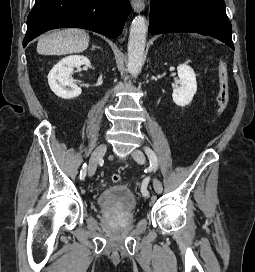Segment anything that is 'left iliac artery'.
<instances>
[{"label": "left iliac artery", "mask_w": 255, "mask_h": 272, "mask_svg": "<svg viewBox=\"0 0 255 272\" xmlns=\"http://www.w3.org/2000/svg\"><path fill=\"white\" fill-rule=\"evenodd\" d=\"M144 150H145L146 155L149 158L150 166L152 167V169H154V171L157 170L158 162H157V157H156L155 153L149 147H145ZM148 181H149V178L145 177L143 182H142V185H141V191H142L144 196L149 195L148 191L146 190L147 185H148Z\"/></svg>", "instance_id": "left-iliac-artery-1"}]
</instances>
